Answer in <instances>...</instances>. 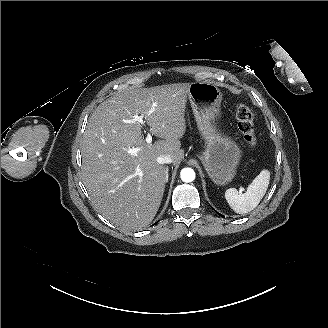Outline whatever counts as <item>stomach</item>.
Returning <instances> with one entry per match:
<instances>
[{
  "instance_id": "1",
  "label": "stomach",
  "mask_w": 328,
  "mask_h": 328,
  "mask_svg": "<svg viewBox=\"0 0 328 328\" xmlns=\"http://www.w3.org/2000/svg\"><path fill=\"white\" fill-rule=\"evenodd\" d=\"M188 98L199 133L205 141V151L200 157L205 170L217 185L231 182L242 151L235 141L216 129L215 119L220 115L222 100L220 89L212 82L190 83Z\"/></svg>"
}]
</instances>
